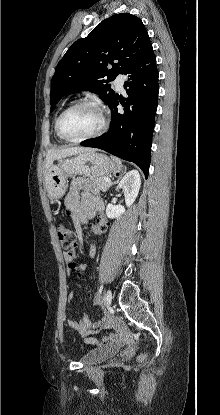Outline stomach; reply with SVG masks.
I'll return each instance as SVG.
<instances>
[{
    "label": "stomach",
    "mask_w": 220,
    "mask_h": 415,
    "mask_svg": "<svg viewBox=\"0 0 220 415\" xmlns=\"http://www.w3.org/2000/svg\"><path fill=\"white\" fill-rule=\"evenodd\" d=\"M118 171L119 168L108 156L90 150L51 166L45 176V186L50 198L59 199L67 190L68 177L85 175L98 178Z\"/></svg>",
    "instance_id": "stomach-1"
}]
</instances>
